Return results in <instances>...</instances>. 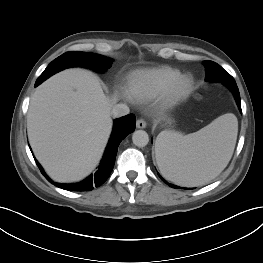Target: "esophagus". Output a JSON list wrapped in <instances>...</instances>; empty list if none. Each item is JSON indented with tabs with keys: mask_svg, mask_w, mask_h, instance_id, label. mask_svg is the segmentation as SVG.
Masks as SVG:
<instances>
[{
	"mask_svg": "<svg viewBox=\"0 0 263 263\" xmlns=\"http://www.w3.org/2000/svg\"><path fill=\"white\" fill-rule=\"evenodd\" d=\"M136 127L143 129L146 127V122L143 119H138L136 122Z\"/></svg>",
	"mask_w": 263,
	"mask_h": 263,
	"instance_id": "1",
	"label": "esophagus"
}]
</instances>
